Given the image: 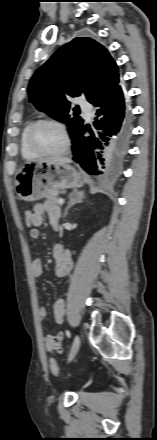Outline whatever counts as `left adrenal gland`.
<instances>
[{"instance_id":"left-adrenal-gland-1","label":"left adrenal gland","mask_w":157,"mask_h":440,"mask_svg":"<svg viewBox=\"0 0 157 440\" xmlns=\"http://www.w3.org/2000/svg\"><path fill=\"white\" fill-rule=\"evenodd\" d=\"M69 203L67 205V207L65 208L64 214H63V218H65L68 214V210L74 206L77 203H82L83 199H84V193L83 192H76V193H71L69 195Z\"/></svg>"}]
</instances>
